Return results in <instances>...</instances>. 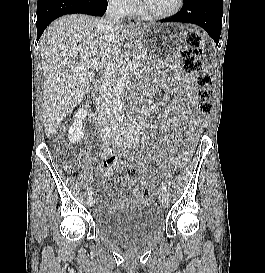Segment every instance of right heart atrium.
Instances as JSON below:
<instances>
[{
    "instance_id": "right-heart-atrium-1",
    "label": "right heart atrium",
    "mask_w": 265,
    "mask_h": 273,
    "mask_svg": "<svg viewBox=\"0 0 265 273\" xmlns=\"http://www.w3.org/2000/svg\"><path fill=\"white\" fill-rule=\"evenodd\" d=\"M137 0H108L109 4L121 11V12H129L134 9L136 6Z\"/></svg>"
}]
</instances>
